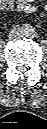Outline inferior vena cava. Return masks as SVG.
Returning a JSON list of instances; mask_svg holds the SVG:
<instances>
[{
  "label": "inferior vena cava",
  "mask_w": 47,
  "mask_h": 129,
  "mask_svg": "<svg viewBox=\"0 0 47 129\" xmlns=\"http://www.w3.org/2000/svg\"><path fill=\"white\" fill-rule=\"evenodd\" d=\"M10 37H11V38H17V37H18L17 31H16V30H12V31L10 32Z\"/></svg>",
  "instance_id": "602c4592"
}]
</instances>
